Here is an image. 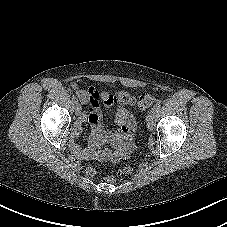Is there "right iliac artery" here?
Instances as JSON below:
<instances>
[{
	"label": "right iliac artery",
	"instance_id": "right-iliac-artery-1",
	"mask_svg": "<svg viewBox=\"0 0 227 227\" xmlns=\"http://www.w3.org/2000/svg\"><path fill=\"white\" fill-rule=\"evenodd\" d=\"M72 101H73L74 103H77V102H78L76 96H74V95L72 96Z\"/></svg>",
	"mask_w": 227,
	"mask_h": 227
}]
</instances>
